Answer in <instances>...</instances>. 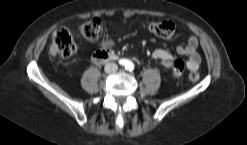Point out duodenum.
Wrapping results in <instances>:
<instances>
[{"label": "duodenum", "mask_w": 247, "mask_h": 145, "mask_svg": "<svg viewBox=\"0 0 247 145\" xmlns=\"http://www.w3.org/2000/svg\"><path fill=\"white\" fill-rule=\"evenodd\" d=\"M117 59H118V56L116 54L110 53V52L104 51V50L97 51L92 56V60L97 64L115 61Z\"/></svg>", "instance_id": "1"}]
</instances>
